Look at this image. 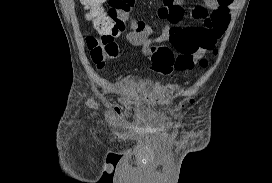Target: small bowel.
<instances>
[{
	"label": "small bowel",
	"instance_id": "1",
	"mask_svg": "<svg viewBox=\"0 0 272 183\" xmlns=\"http://www.w3.org/2000/svg\"><path fill=\"white\" fill-rule=\"evenodd\" d=\"M234 3L235 0H203V5L190 11V19L197 24L185 25L183 0H161L157 8L159 17L165 21L161 35L154 38L149 24L130 19V31L125 38L131 45L141 47L145 55L149 54L151 44L168 42L174 51L175 70H190L226 31ZM108 118L118 120L121 111L115 108Z\"/></svg>",
	"mask_w": 272,
	"mask_h": 183
}]
</instances>
